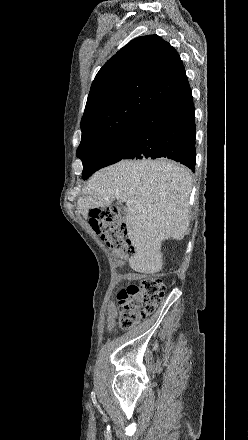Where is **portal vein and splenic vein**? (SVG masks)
I'll return each instance as SVG.
<instances>
[{
	"label": "portal vein and splenic vein",
	"instance_id": "obj_1",
	"mask_svg": "<svg viewBox=\"0 0 248 440\" xmlns=\"http://www.w3.org/2000/svg\"><path fill=\"white\" fill-rule=\"evenodd\" d=\"M133 201L132 200H128L127 202H126V205H129V204H131Z\"/></svg>",
	"mask_w": 248,
	"mask_h": 440
}]
</instances>
